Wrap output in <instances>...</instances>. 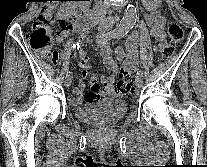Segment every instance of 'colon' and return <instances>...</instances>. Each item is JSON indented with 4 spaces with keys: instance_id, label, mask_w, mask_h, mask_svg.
<instances>
[{
    "instance_id": "obj_1",
    "label": "colon",
    "mask_w": 207,
    "mask_h": 167,
    "mask_svg": "<svg viewBox=\"0 0 207 167\" xmlns=\"http://www.w3.org/2000/svg\"><path fill=\"white\" fill-rule=\"evenodd\" d=\"M54 21V7L49 6L39 13L38 21L33 24L29 36L31 47L38 53L45 54L52 62L58 61V52L53 50V42L50 36L51 25ZM69 24H63V30H70ZM183 29L180 25L172 23L168 28V38L161 46V56L163 59H170L175 52V47L180 45L183 39ZM118 92L130 94L134 91V85L122 69L117 84Z\"/></svg>"
}]
</instances>
